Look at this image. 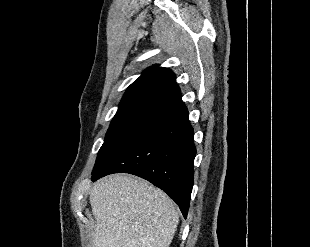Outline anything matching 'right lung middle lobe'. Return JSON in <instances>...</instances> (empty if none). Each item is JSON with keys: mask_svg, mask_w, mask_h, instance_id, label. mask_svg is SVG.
I'll use <instances>...</instances> for the list:
<instances>
[{"mask_svg": "<svg viewBox=\"0 0 310 247\" xmlns=\"http://www.w3.org/2000/svg\"><path fill=\"white\" fill-rule=\"evenodd\" d=\"M157 114L156 110L144 107L118 110L98 152L93 171L103 166L134 133Z\"/></svg>", "mask_w": 310, "mask_h": 247, "instance_id": "dd1d6c3e", "label": "right lung middle lobe"}]
</instances>
